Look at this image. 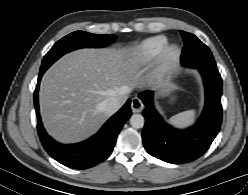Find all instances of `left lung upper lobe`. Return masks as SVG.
Wrapping results in <instances>:
<instances>
[{
    "label": "left lung upper lobe",
    "mask_w": 248,
    "mask_h": 195,
    "mask_svg": "<svg viewBox=\"0 0 248 195\" xmlns=\"http://www.w3.org/2000/svg\"><path fill=\"white\" fill-rule=\"evenodd\" d=\"M180 33L185 43L181 55L182 65L197 69L216 67L213 55L204 43L191 33L185 31Z\"/></svg>",
    "instance_id": "1"
}]
</instances>
